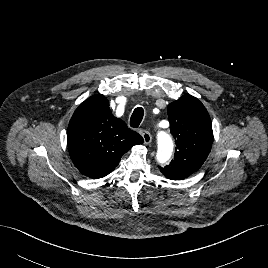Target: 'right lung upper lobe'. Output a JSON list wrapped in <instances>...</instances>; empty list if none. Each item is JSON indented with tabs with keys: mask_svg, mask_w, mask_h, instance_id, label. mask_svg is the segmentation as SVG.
<instances>
[{
	"mask_svg": "<svg viewBox=\"0 0 268 268\" xmlns=\"http://www.w3.org/2000/svg\"><path fill=\"white\" fill-rule=\"evenodd\" d=\"M143 138L113 116L108 100L96 94L74 112L67 129L70 157L81 174L92 179L111 173L121 157Z\"/></svg>",
	"mask_w": 268,
	"mask_h": 268,
	"instance_id": "right-lung-upper-lobe-1",
	"label": "right lung upper lobe"
}]
</instances>
